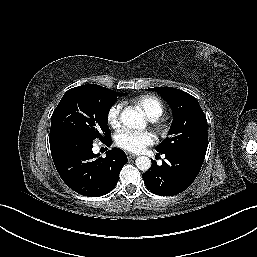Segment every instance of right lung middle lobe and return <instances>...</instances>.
<instances>
[{"label":"right lung middle lobe","instance_id":"right-lung-middle-lobe-1","mask_svg":"<svg viewBox=\"0 0 257 257\" xmlns=\"http://www.w3.org/2000/svg\"><path fill=\"white\" fill-rule=\"evenodd\" d=\"M111 89L87 84L68 90L51 117L50 140L77 136L101 142L110 138V108L117 100Z\"/></svg>","mask_w":257,"mask_h":257}]
</instances>
